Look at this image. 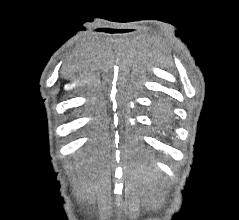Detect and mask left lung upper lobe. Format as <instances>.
<instances>
[{
	"instance_id": "obj_1",
	"label": "left lung upper lobe",
	"mask_w": 239,
	"mask_h": 220,
	"mask_svg": "<svg viewBox=\"0 0 239 220\" xmlns=\"http://www.w3.org/2000/svg\"><path fill=\"white\" fill-rule=\"evenodd\" d=\"M159 107H160L161 109H166V108H167L166 105H159Z\"/></svg>"
}]
</instances>
